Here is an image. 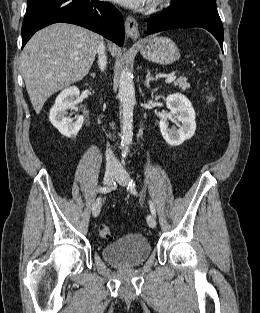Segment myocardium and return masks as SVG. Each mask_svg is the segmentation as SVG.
Wrapping results in <instances>:
<instances>
[{"instance_id":"obj_1","label":"myocardium","mask_w":260,"mask_h":313,"mask_svg":"<svg viewBox=\"0 0 260 313\" xmlns=\"http://www.w3.org/2000/svg\"><path fill=\"white\" fill-rule=\"evenodd\" d=\"M165 2V0H156V4L162 5Z\"/></svg>"}]
</instances>
